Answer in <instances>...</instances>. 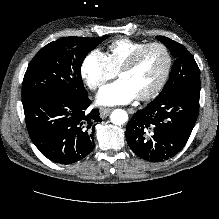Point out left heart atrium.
Listing matches in <instances>:
<instances>
[{
	"label": "left heart atrium",
	"instance_id": "obj_1",
	"mask_svg": "<svg viewBox=\"0 0 219 219\" xmlns=\"http://www.w3.org/2000/svg\"><path fill=\"white\" fill-rule=\"evenodd\" d=\"M137 97L136 92L124 79L104 86L98 93L97 101L101 105H121Z\"/></svg>",
	"mask_w": 219,
	"mask_h": 219
}]
</instances>
